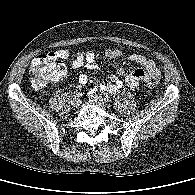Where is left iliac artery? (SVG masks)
<instances>
[{
  "label": "left iliac artery",
  "mask_w": 195,
  "mask_h": 195,
  "mask_svg": "<svg viewBox=\"0 0 195 195\" xmlns=\"http://www.w3.org/2000/svg\"><path fill=\"white\" fill-rule=\"evenodd\" d=\"M104 100H105L106 102H109V101H110V99H109L108 96H106V97L104 98Z\"/></svg>",
  "instance_id": "1"
}]
</instances>
